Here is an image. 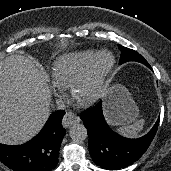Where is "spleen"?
<instances>
[{
	"instance_id": "obj_1",
	"label": "spleen",
	"mask_w": 171,
	"mask_h": 171,
	"mask_svg": "<svg viewBox=\"0 0 171 171\" xmlns=\"http://www.w3.org/2000/svg\"><path fill=\"white\" fill-rule=\"evenodd\" d=\"M144 124L145 120L141 119L132 125L120 127L116 129V131L125 137L135 138L138 137L140 132L143 130Z\"/></svg>"
}]
</instances>
